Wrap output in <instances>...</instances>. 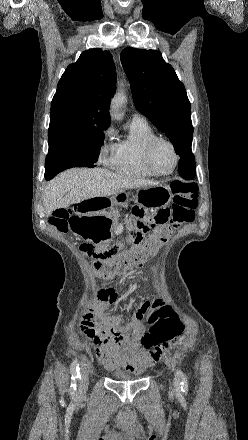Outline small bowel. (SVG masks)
<instances>
[{"instance_id":"1","label":"small bowel","mask_w":248,"mask_h":440,"mask_svg":"<svg viewBox=\"0 0 248 440\" xmlns=\"http://www.w3.org/2000/svg\"><path fill=\"white\" fill-rule=\"evenodd\" d=\"M113 290V289H112ZM113 290L110 299L100 298L87 309L79 322L80 331L93 341L99 362L107 369L123 366L131 371H141L150 364L148 353L139 351L144 336V322L149 311L160 304L144 302L130 320L109 312V305L116 301ZM96 317H101L96 321Z\"/></svg>"}]
</instances>
